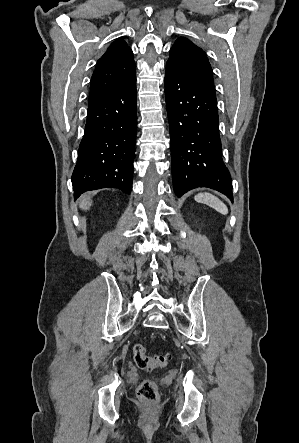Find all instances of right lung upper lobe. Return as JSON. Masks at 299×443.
<instances>
[{"mask_svg": "<svg viewBox=\"0 0 299 443\" xmlns=\"http://www.w3.org/2000/svg\"><path fill=\"white\" fill-rule=\"evenodd\" d=\"M135 76V62L130 47L123 39L113 42L98 60L91 78V104Z\"/></svg>", "mask_w": 299, "mask_h": 443, "instance_id": "cb5924a9", "label": "right lung upper lobe"}]
</instances>
